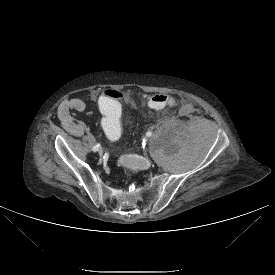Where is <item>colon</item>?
<instances>
[{
	"label": "colon",
	"instance_id": "5ec220e1",
	"mask_svg": "<svg viewBox=\"0 0 275 275\" xmlns=\"http://www.w3.org/2000/svg\"><path fill=\"white\" fill-rule=\"evenodd\" d=\"M123 93L115 90H108L98 94L97 104L99 110L105 118L101 121V128L106 136L115 139L120 134V126L118 119L119 104L123 98ZM176 104L173 96L165 94H155L148 98V105L152 109H163L172 107Z\"/></svg>",
	"mask_w": 275,
	"mask_h": 275
}]
</instances>
